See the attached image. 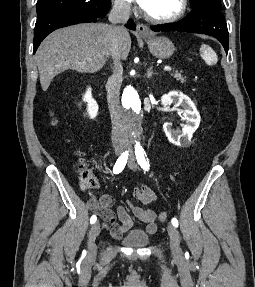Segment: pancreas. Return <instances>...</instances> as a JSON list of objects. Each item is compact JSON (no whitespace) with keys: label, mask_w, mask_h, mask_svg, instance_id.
Here are the masks:
<instances>
[{"label":"pancreas","mask_w":255,"mask_h":287,"mask_svg":"<svg viewBox=\"0 0 255 287\" xmlns=\"http://www.w3.org/2000/svg\"><path fill=\"white\" fill-rule=\"evenodd\" d=\"M171 76H174L176 80H180L181 84H184L186 80L185 76H182L181 72H175V74H171Z\"/></svg>","instance_id":"obj_1"}]
</instances>
